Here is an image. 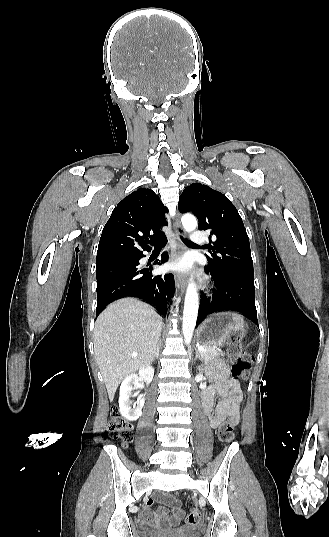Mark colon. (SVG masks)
I'll list each match as a JSON object with an SVG mask.
<instances>
[{"mask_svg":"<svg viewBox=\"0 0 329 537\" xmlns=\"http://www.w3.org/2000/svg\"><path fill=\"white\" fill-rule=\"evenodd\" d=\"M228 353L230 358L234 360V364L232 366L233 376L235 378L246 377L253 363L252 356L241 349L238 341L230 345ZM111 412L112 418L108 426L109 433L114 439L119 440L124 446H127L133 440L132 424L120 415L117 406H113ZM235 425L236 422L234 420H227L220 425L218 428V435L222 442H232L234 439ZM200 522V512L197 510H191L186 517V523L194 526L198 525Z\"/></svg>","mask_w":329,"mask_h":537,"instance_id":"5ec220e1","label":"colon"}]
</instances>
